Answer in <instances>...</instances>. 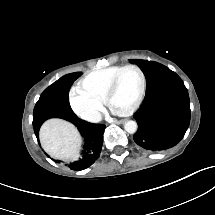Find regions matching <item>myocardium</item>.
Segmentation results:
<instances>
[{
	"label": "myocardium",
	"instance_id": "myocardium-1",
	"mask_svg": "<svg viewBox=\"0 0 215 215\" xmlns=\"http://www.w3.org/2000/svg\"><path fill=\"white\" fill-rule=\"evenodd\" d=\"M130 70L133 71L137 76V86L135 89V93L133 96L132 101H129L127 104L124 105H113L112 98L114 93L116 92L120 78L123 76V71ZM145 87V78L142 71L133 64H125L116 68V73L113 76L112 84L109 89H107L106 96L103 99L102 107L107 109L112 114L117 115H131L140 107V101L142 99Z\"/></svg>",
	"mask_w": 215,
	"mask_h": 215
}]
</instances>
